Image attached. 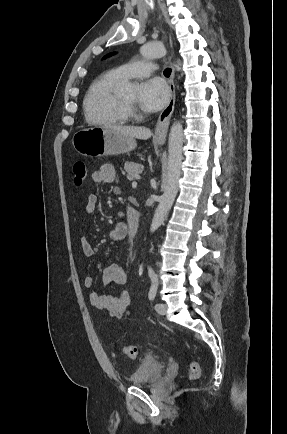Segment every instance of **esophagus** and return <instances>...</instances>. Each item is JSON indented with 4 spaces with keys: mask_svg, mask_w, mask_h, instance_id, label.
I'll return each mask as SVG.
<instances>
[{
    "mask_svg": "<svg viewBox=\"0 0 287 434\" xmlns=\"http://www.w3.org/2000/svg\"><path fill=\"white\" fill-rule=\"evenodd\" d=\"M170 45L171 47H173V41L171 37H170ZM171 67H172V71L170 76V99L166 107L160 113L155 127V138L158 140L165 139L168 131L169 121L175 106V84H174L175 69L172 65V62H171Z\"/></svg>",
    "mask_w": 287,
    "mask_h": 434,
    "instance_id": "1",
    "label": "esophagus"
}]
</instances>
